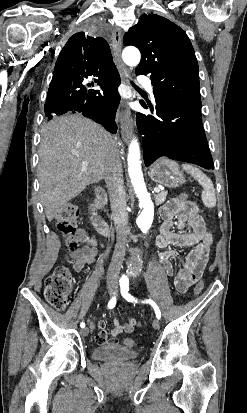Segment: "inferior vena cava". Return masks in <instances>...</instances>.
Listing matches in <instances>:
<instances>
[{
	"mask_svg": "<svg viewBox=\"0 0 247 413\" xmlns=\"http://www.w3.org/2000/svg\"><path fill=\"white\" fill-rule=\"evenodd\" d=\"M121 142L112 136V144L108 146L109 154L105 162V182L107 184L111 211L117 233V243L107 273V281L118 283L121 265L125 257V245L128 237L127 194L124 188L122 160L120 158Z\"/></svg>",
	"mask_w": 247,
	"mask_h": 413,
	"instance_id": "inferior-vena-cava-1",
	"label": "inferior vena cava"
}]
</instances>
